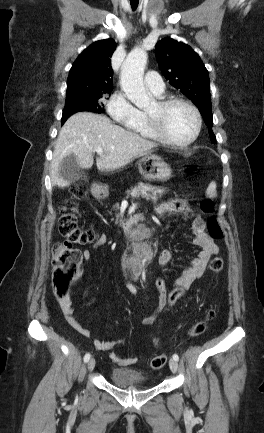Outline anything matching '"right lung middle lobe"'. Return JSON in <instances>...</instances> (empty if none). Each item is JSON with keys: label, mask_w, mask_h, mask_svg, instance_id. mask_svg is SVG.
I'll use <instances>...</instances> for the list:
<instances>
[{"label": "right lung middle lobe", "mask_w": 264, "mask_h": 433, "mask_svg": "<svg viewBox=\"0 0 264 433\" xmlns=\"http://www.w3.org/2000/svg\"><path fill=\"white\" fill-rule=\"evenodd\" d=\"M106 93L110 94L111 90L67 97L62 115V124H64L71 115L79 111L102 113L104 111V104L102 103L101 98Z\"/></svg>", "instance_id": "obj_1"}]
</instances>
